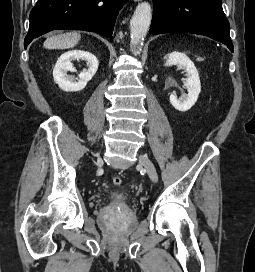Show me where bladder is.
I'll return each instance as SVG.
<instances>
[{
	"label": "bladder",
	"mask_w": 255,
	"mask_h": 272,
	"mask_svg": "<svg viewBox=\"0 0 255 272\" xmlns=\"http://www.w3.org/2000/svg\"><path fill=\"white\" fill-rule=\"evenodd\" d=\"M110 202L115 205L126 204L127 197L120 192H114L110 197Z\"/></svg>",
	"instance_id": "bladder-1"
}]
</instances>
